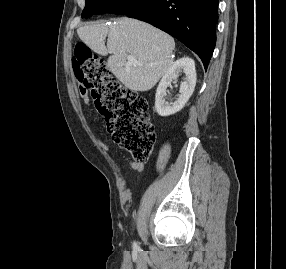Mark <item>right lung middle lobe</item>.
Returning a JSON list of instances; mask_svg holds the SVG:
<instances>
[{"label": "right lung middle lobe", "mask_w": 286, "mask_h": 269, "mask_svg": "<svg viewBox=\"0 0 286 269\" xmlns=\"http://www.w3.org/2000/svg\"><path fill=\"white\" fill-rule=\"evenodd\" d=\"M150 1L151 0H86L82 18L104 13L128 15L144 7Z\"/></svg>", "instance_id": "1"}]
</instances>
